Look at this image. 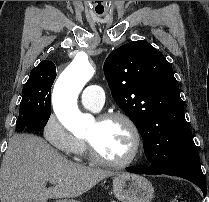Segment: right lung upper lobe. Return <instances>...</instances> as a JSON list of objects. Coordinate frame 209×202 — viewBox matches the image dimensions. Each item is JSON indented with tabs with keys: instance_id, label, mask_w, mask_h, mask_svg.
I'll return each instance as SVG.
<instances>
[{
	"instance_id": "1",
	"label": "right lung upper lobe",
	"mask_w": 209,
	"mask_h": 202,
	"mask_svg": "<svg viewBox=\"0 0 209 202\" xmlns=\"http://www.w3.org/2000/svg\"><path fill=\"white\" fill-rule=\"evenodd\" d=\"M35 76H56V67L51 61L43 60L37 67L32 69L29 78Z\"/></svg>"
}]
</instances>
